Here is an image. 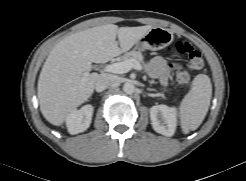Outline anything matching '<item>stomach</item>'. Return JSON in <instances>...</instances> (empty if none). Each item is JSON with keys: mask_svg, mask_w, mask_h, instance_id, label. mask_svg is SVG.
I'll use <instances>...</instances> for the list:
<instances>
[{"mask_svg": "<svg viewBox=\"0 0 246 181\" xmlns=\"http://www.w3.org/2000/svg\"><path fill=\"white\" fill-rule=\"evenodd\" d=\"M173 40L172 33L164 28H152L142 39L136 43V49L139 51L150 49L158 50L169 45Z\"/></svg>", "mask_w": 246, "mask_h": 181, "instance_id": "stomach-1", "label": "stomach"}]
</instances>
